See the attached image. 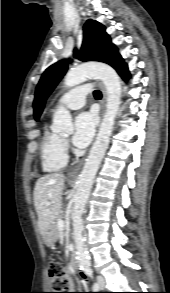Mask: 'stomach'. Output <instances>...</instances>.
Listing matches in <instances>:
<instances>
[{
    "mask_svg": "<svg viewBox=\"0 0 170 293\" xmlns=\"http://www.w3.org/2000/svg\"><path fill=\"white\" fill-rule=\"evenodd\" d=\"M43 239L47 246H53L56 242V237L52 233L51 229H49L47 232L43 234Z\"/></svg>",
    "mask_w": 170,
    "mask_h": 293,
    "instance_id": "0dacf381",
    "label": "stomach"
}]
</instances>
